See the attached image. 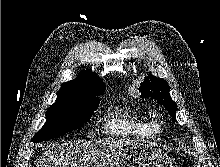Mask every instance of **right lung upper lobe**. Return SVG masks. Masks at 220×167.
<instances>
[{
    "instance_id": "1",
    "label": "right lung upper lobe",
    "mask_w": 220,
    "mask_h": 167,
    "mask_svg": "<svg viewBox=\"0 0 220 167\" xmlns=\"http://www.w3.org/2000/svg\"><path fill=\"white\" fill-rule=\"evenodd\" d=\"M105 91V84L91 70H83L77 78L62 85L56 101L81 97H96Z\"/></svg>"
}]
</instances>
